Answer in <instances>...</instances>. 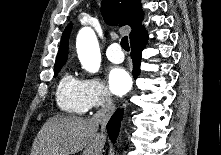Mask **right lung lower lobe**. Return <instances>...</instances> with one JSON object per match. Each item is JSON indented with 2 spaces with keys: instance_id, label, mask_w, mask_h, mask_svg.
<instances>
[{
  "instance_id": "obj_1",
  "label": "right lung lower lobe",
  "mask_w": 221,
  "mask_h": 155,
  "mask_svg": "<svg viewBox=\"0 0 221 155\" xmlns=\"http://www.w3.org/2000/svg\"><path fill=\"white\" fill-rule=\"evenodd\" d=\"M148 35L145 29L131 40V58L133 60V76L136 79L140 74L141 53L146 46ZM123 110H117L107 124L109 138L115 143L119 134Z\"/></svg>"
}]
</instances>
